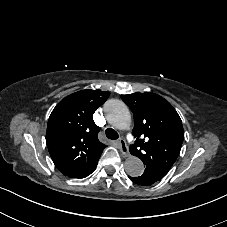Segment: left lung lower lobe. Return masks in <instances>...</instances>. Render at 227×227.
<instances>
[{
  "mask_svg": "<svg viewBox=\"0 0 227 227\" xmlns=\"http://www.w3.org/2000/svg\"><path fill=\"white\" fill-rule=\"evenodd\" d=\"M130 180H132L134 183L138 185H143V186H149L157 181H160L163 177L151 172V171H144L143 175H141L138 178H133L130 177Z\"/></svg>",
  "mask_w": 227,
  "mask_h": 227,
  "instance_id": "left-lung-lower-lobe-1",
  "label": "left lung lower lobe"
}]
</instances>
